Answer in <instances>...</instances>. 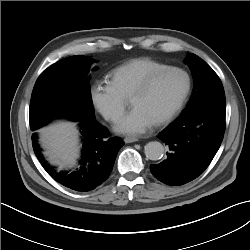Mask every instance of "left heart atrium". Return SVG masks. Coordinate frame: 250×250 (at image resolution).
<instances>
[{
  "label": "left heart atrium",
  "mask_w": 250,
  "mask_h": 250,
  "mask_svg": "<svg viewBox=\"0 0 250 250\" xmlns=\"http://www.w3.org/2000/svg\"><path fill=\"white\" fill-rule=\"evenodd\" d=\"M155 122L139 107H134L125 114L116 126L118 132L138 135L149 130Z\"/></svg>",
  "instance_id": "left-heart-atrium-1"
}]
</instances>
